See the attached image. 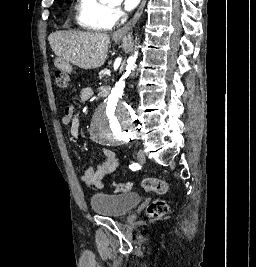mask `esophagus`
Returning a JSON list of instances; mask_svg holds the SVG:
<instances>
[{
    "mask_svg": "<svg viewBox=\"0 0 256 267\" xmlns=\"http://www.w3.org/2000/svg\"><path fill=\"white\" fill-rule=\"evenodd\" d=\"M145 3H146V0L141 1V4L138 10L134 14V16L131 18V20L128 23H126L122 28H120L117 32H115L114 36L116 37L124 36L134 27V25L136 24V22L138 21L139 17L141 16L143 12Z\"/></svg>",
    "mask_w": 256,
    "mask_h": 267,
    "instance_id": "obj_1",
    "label": "esophagus"
}]
</instances>
